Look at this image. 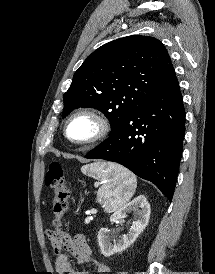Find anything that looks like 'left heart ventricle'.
I'll return each instance as SVG.
<instances>
[{
    "label": "left heart ventricle",
    "instance_id": "b2bd125f",
    "mask_svg": "<svg viewBox=\"0 0 215 274\" xmlns=\"http://www.w3.org/2000/svg\"><path fill=\"white\" fill-rule=\"evenodd\" d=\"M96 132L95 122L86 116L73 119L68 126V135L75 141H83L94 135Z\"/></svg>",
    "mask_w": 215,
    "mask_h": 274
}]
</instances>
